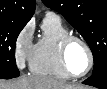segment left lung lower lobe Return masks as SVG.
<instances>
[{
  "mask_svg": "<svg viewBox=\"0 0 107 89\" xmlns=\"http://www.w3.org/2000/svg\"><path fill=\"white\" fill-rule=\"evenodd\" d=\"M83 84L100 89H107V63L102 65L92 76L83 81Z\"/></svg>",
  "mask_w": 107,
  "mask_h": 89,
  "instance_id": "obj_1",
  "label": "left lung lower lobe"
}]
</instances>
